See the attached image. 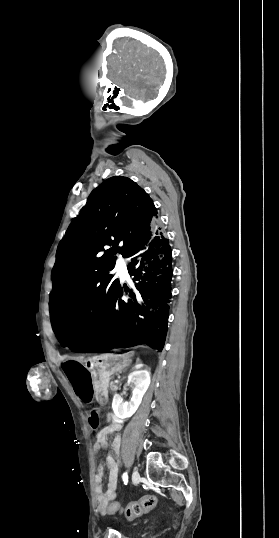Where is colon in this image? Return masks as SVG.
Wrapping results in <instances>:
<instances>
[{
	"label": "colon",
	"instance_id": "colon-1",
	"mask_svg": "<svg viewBox=\"0 0 279 538\" xmlns=\"http://www.w3.org/2000/svg\"><path fill=\"white\" fill-rule=\"evenodd\" d=\"M155 505L156 497L154 495H147L129 503L125 508L113 502L105 508H100V511L103 513H124L128 518H135L149 512Z\"/></svg>",
	"mask_w": 279,
	"mask_h": 538
}]
</instances>
